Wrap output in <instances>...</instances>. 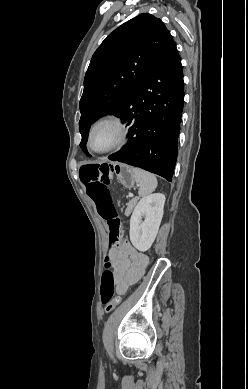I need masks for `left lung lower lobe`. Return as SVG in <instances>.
<instances>
[{
    "label": "left lung lower lobe",
    "instance_id": "1",
    "mask_svg": "<svg viewBox=\"0 0 248 389\" xmlns=\"http://www.w3.org/2000/svg\"><path fill=\"white\" fill-rule=\"evenodd\" d=\"M183 102V71L174 43L116 115L133 125L127 144L108 158L172 181Z\"/></svg>",
    "mask_w": 248,
    "mask_h": 389
}]
</instances>
